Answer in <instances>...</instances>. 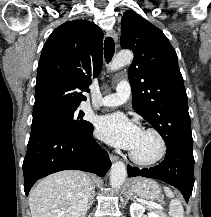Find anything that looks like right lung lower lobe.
<instances>
[{"label":"right lung lower lobe","instance_id":"obj_1","mask_svg":"<svg viewBox=\"0 0 211 217\" xmlns=\"http://www.w3.org/2000/svg\"><path fill=\"white\" fill-rule=\"evenodd\" d=\"M91 131L77 138L57 130L31 131L23 162L24 191L49 174L73 169L104 176L111 162L108 153L92 138Z\"/></svg>","mask_w":211,"mask_h":217}]
</instances>
